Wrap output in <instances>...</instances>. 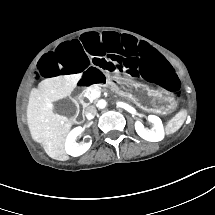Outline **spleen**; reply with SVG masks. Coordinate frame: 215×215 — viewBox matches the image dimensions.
<instances>
[{
	"instance_id": "obj_1",
	"label": "spleen",
	"mask_w": 215,
	"mask_h": 215,
	"mask_svg": "<svg viewBox=\"0 0 215 215\" xmlns=\"http://www.w3.org/2000/svg\"><path fill=\"white\" fill-rule=\"evenodd\" d=\"M185 118H186V113L184 112H180L175 117H173V119L169 121L166 127V133L171 134L177 131L183 124Z\"/></svg>"
}]
</instances>
